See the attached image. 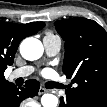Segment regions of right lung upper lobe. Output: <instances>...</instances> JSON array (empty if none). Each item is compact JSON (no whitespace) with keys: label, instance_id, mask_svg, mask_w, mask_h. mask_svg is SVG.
<instances>
[{"label":"right lung upper lobe","instance_id":"right-lung-upper-lobe-1","mask_svg":"<svg viewBox=\"0 0 107 107\" xmlns=\"http://www.w3.org/2000/svg\"><path fill=\"white\" fill-rule=\"evenodd\" d=\"M44 26L43 22L15 24L0 21V83L6 81L4 71L13 64L20 41L37 33Z\"/></svg>","mask_w":107,"mask_h":107}]
</instances>
